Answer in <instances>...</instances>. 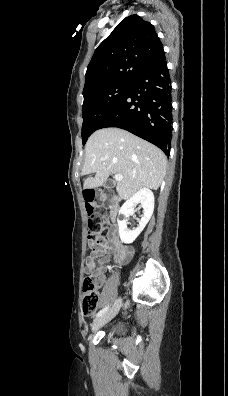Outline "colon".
I'll list each match as a JSON object with an SVG mask.
<instances>
[{"label": "colon", "mask_w": 228, "mask_h": 396, "mask_svg": "<svg viewBox=\"0 0 228 396\" xmlns=\"http://www.w3.org/2000/svg\"><path fill=\"white\" fill-rule=\"evenodd\" d=\"M85 209L89 217L87 237L89 242L97 243L102 238L107 229V224L96 212L97 208H103L108 204L107 195L88 190L84 194ZM99 303V293L97 282L94 277L88 276L83 281L82 312L86 316L93 315Z\"/></svg>", "instance_id": "1"}]
</instances>
